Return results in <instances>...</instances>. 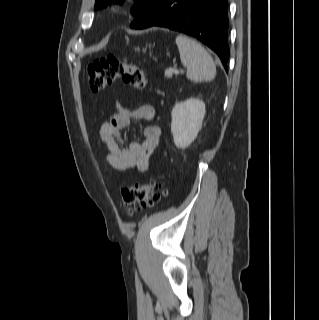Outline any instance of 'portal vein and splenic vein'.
<instances>
[{
	"label": "portal vein and splenic vein",
	"mask_w": 319,
	"mask_h": 320,
	"mask_svg": "<svg viewBox=\"0 0 319 320\" xmlns=\"http://www.w3.org/2000/svg\"><path fill=\"white\" fill-rule=\"evenodd\" d=\"M173 73L178 74L179 71H177V70H166L165 71V76L168 77V78H171L173 76Z\"/></svg>",
	"instance_id": "portal-vein-and-splenic-vein-1"
}]
</instances>
